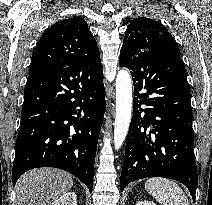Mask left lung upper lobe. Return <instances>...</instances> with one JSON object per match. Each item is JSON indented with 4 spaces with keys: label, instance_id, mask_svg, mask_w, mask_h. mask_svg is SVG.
I'll return each instance as SVG.
<instances>
[{
    "label": "left lung upper lobe",
    "instance_id": "1",
    "mask_svg": "<svg viewBox=\"0 0 212 205\" xmlns=\"http://www.w3.org/2000/svg\"><path fill=\"white\" fill-rule=\"evenodd\" d=\"M150 49L164 50L180 55L174 38L161 23L150 18H136L127 28L120 51V60H126L141 51Z\"/></svg>",
    "mask_w": 212,
    "mask_h": 205
}]
</instances>
